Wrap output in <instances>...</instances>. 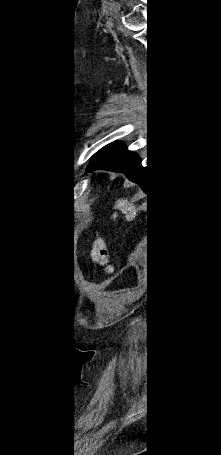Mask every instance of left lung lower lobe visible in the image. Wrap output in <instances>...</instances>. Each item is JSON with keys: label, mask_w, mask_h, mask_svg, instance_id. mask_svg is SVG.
<instances>
[{"label": "left lung lower lobe", "mask_w": 221, "mask_h": 455, "mask_svg": "<svg viewBox=\"0 0 221 455\" xmlns=\"http://www.w3.org/2000/svg\"><path fill=\"white\" fill-rule=\"evenodd\" d=\"M142 159L129 151L122 142L116 141L105 146L96 156L91 158L87 171L104 169L114 172H123L144 191H148L151 173L149 167H143Z\"/></svg>", "instance_id": "left-lung-lower-lobe-1"}]
</instances>
